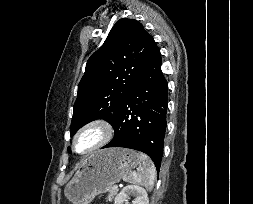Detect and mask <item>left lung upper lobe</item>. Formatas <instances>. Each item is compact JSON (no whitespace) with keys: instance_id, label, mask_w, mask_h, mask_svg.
Returning <instances> with one entry per match:
<instances>
[{"instance_id":"left-lung-upper-lobe-1","label":"left lung upper lobe","mask_w":253,"mask_h":204,"mask_svg":"<svg viewBox=\"0 0 253 204\" xmlns=\"http://www.w3.org/2000/svg\"><path fill=\"white\" fill-rule=\"evenodd\" d=\"M153 37L135 19H120L88 59L78 85L70 133L104 119L112 124L156 49ZM68 151L71 153L70 148Z\"/></svg>"}]
</instances>
